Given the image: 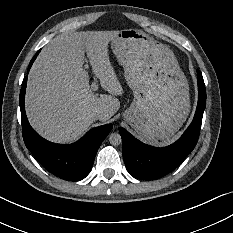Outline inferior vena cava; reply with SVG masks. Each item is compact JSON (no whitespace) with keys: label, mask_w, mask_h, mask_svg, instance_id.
Segmentation results:
<instances>
[{"label":"inferior vena cava","mask_w":233,"mask_h":233,"mask_svg":"<svg viewBox=\"0 0 233 233\" xmlns=\"http://www.w3.org/2000/svg\"><path fill=\"white\" fill-rule=\"evenodd\" d=\"M103 116V111L101 110H95L92 114H91V118L93 120H98L99 118H101Z\"/></svg>","instance_id":"inferior-vena-cava-1"}]
</instances>
